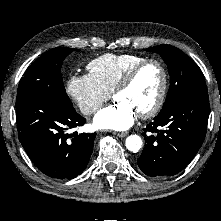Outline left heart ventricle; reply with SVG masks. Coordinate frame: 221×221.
Wrapping results in <instances>:
<instances>
[{
  "instance_id": "obj_1",
  "label": "left heart ventricle",
  "mask_w": 221,
  "mask_h": 221,
  "mask_svg": "<svg viewBox=\"0 0 221 221\" xmlns=\"http://www.w3.org/2000/svg\"><path fill=\"white\" fill-rule=\"evenodd\" d=\"M161 82V70L157 65L150 64L138 74L127 89L115 96V100L127 103L139 114L148 110L155 103Z\"/></svg>"
}]
</instances>
